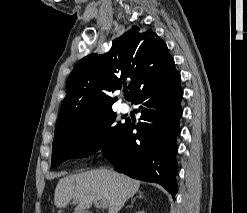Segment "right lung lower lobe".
<instances>
[{
    "label": "right lung lower lobe",
    "mask_w": 247,
    "mask_h": 213,
    "mask_svg": "<svg viewBox=\"0 0 247 213\" xmlns=\"http://www.w3.org/2000/svg\"><path fill=\"white\" fill-rule=\"evenodd\" d=\"M180 74L175 67L143 86L130 100L140 105L137 125L126 121L115 145L103 152L115 169L177 192L176 137L182 116ZM136 129L137 133H133Z\"/></svg>",
    "instance_id": "obj_1"
}]
</instances>
